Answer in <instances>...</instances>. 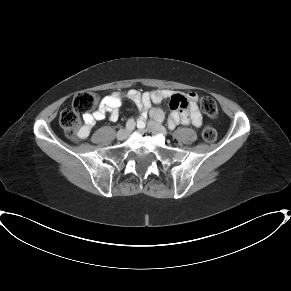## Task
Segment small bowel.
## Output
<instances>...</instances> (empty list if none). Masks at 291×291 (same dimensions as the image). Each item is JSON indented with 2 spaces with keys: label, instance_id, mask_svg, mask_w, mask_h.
Listing matches in <instances>:
<instances>
[{
  "label": "small bowel",
  "instance_id": "c3829d8e",
  "mask_svg": "<svg viewBox=\"0 0 291 291\" xmlns=\"http://www.w3.org/2000/svg\"><path fill=\"white\" fill-rule=\"evenodd\" d=\"M198 95L194 92L187 94L173 93L169 90L160 89L151 92L140 93L137 90H129L126 94L113 92L104 97L98 108L92 113L83 116V124L79 127L80 139L87 138L98 121L103 120L108 114L111 121L119 118V107L124 100L132 101L139 111V126H145V117L151 103H161L165 100L177 101L178 108L173 110L169 117V126L174 128L177 124H192L195 127L202 125V115L198 109ZM187 102L189 107L183 108L182 103Z\"/></svg>",
  "mask_w": 291,
  "mask_h": 291
}]
</instances>
